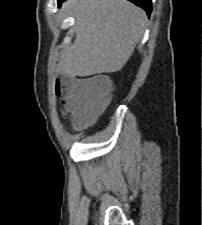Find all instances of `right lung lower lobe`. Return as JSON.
I'll return each mask as SVG.
<instances>
[{
	"mask_svg": "<svg viewBox=\"0 0 202 225\" xmlns=\"http://www.w3.org/2000/svg\"><path fill=\"white\" fill-rule=\"evenodd\" d=\"M64 1L65 0H58V5L60 6L61 3ZM129 1L143 8L148 15L151 13V0H129Z\"/></svg>",
	"mask_w": 202,
	"mask_h": 225,
	"instance_id": "98d812e1",
	"label": "right lung lower lobe"
}]
</instances>
